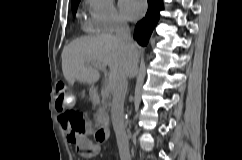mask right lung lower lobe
<instances>
[{
    "label": "right lung lower lobe",
    "instance_id": "1",
    "mask_svg": "<svg viewBox=\"0 0 242 160\" xmlns=\"http://www.w3.org/2000/svg\"><path fill=\"white\" fill-rule=\"evenodd\" d=\"M163 0H148V11L145 18L136 24L134 38L142 46L147 45L149 37L159 20Z\"/></svg>",
    "mask_w": 242,
    "mask_h": 160
}]
</instances>
